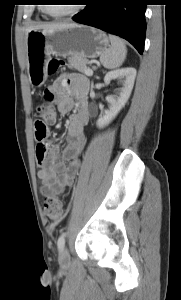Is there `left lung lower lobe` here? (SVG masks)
I'll use <instances>...</instances> for the list:
<instances>
[{"label": "left lung lower lobe", "instance_id": "obj_1", "mask_svg": "<svg viewBox=\"0 0 181 300\" xmlns=\"http://www.w3.org/2000/svg\"><path fill=\"white\" fill-rule=\"evenodd\" d=\"M72 19L129 41L142 54L145 43L146 0H86Z\"/></svg>", "mask_w": 181, "mask_h": 300}]
</instances>
